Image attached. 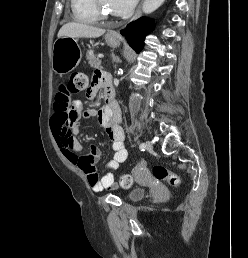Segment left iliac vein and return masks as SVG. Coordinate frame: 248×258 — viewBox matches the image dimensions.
Instances as JSON below:
<instances>
[{
  "label": "left iliac vein",
  "mask_w": 248,
  "mask_h": 258,
  "mask_svg": "<svg viewBox=\"0 0 248 258\" xmlns=\"http://www.w3.org/2000/svg\"><path fill=\"white\" fill-rule=\"evenodd\" d=\"M146 150L149 152H151L153 150V145L149 141L146 142Z\"/></svg>",
  "instance_id": "1"
}]
</instances>
